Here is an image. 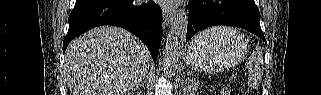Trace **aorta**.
I'll return each mask as SVG.
<instances>
[{"instance_id": "obj_1", "label": "aorta", "mask_w": 321, "mask_h": 95, "mask_svg": "<svg viewBox=\"0 0 321 95\" xmlns=\"http://www.w3.org/2000/svg\"><path fill=\"white\" fill-rule=\"evenodd\" d=\"M188 17L184 10L176 13L171 25L164 52V65L167 74H173L179 65L187 36Z\"/></svg>"}]
</instances>
